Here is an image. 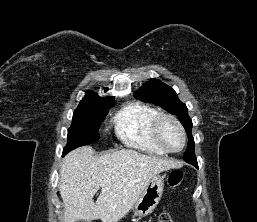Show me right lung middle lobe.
Returning <instances> with one entry per match:
<instances>
[{
  "label": "right lung middle lobe",
  "mask_w": 257,
  "mask_h": 222,
  "mask_svg": "<svg viewBox=\"0 0 257 222\" xmlns=\"http://www.w3.org/2000/svg\"><path fill=\"white\" fill-rule=\"evenodd\" d=\"M113 104L114 102L108 104H79L74 111L72 125L68 129V142L63 150V155L77 147L95 142L100 138L99 128L108 113V109Z\"/></svg>",
  "instance_id": "dd1d6c3e"
}]
</instances>
